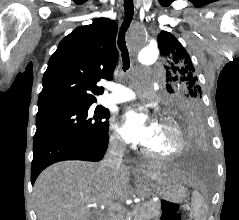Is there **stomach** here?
<instances>
[{
  "label": "stomach",
  "mask_w": 239,
  "mask_h": 220,
  "mask_svg": "<svg viewBox=\"0 0 239 220\" xmlns=\"http://www.w3.org/2000/svg\"><path fill=\"white\" fill-rule=\"evenodd\" d=\"M145 184L161 197L163 212H160L159 220H185V205L178 204L186 199L187 190L180 181L165 177L155 183Z\"/></svg>",
  "instance_id": "stomach-1"
}]
</instances>
